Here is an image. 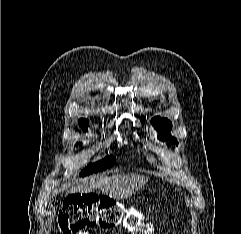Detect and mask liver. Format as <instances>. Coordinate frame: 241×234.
<instances>
[{
  "mask_svg": "<svg viewBox=\"0 0 241 234\" xmlns=\"http://www.w3.org/2000/svg\"><path fill=\"white\" fill-rule=\"evenodd\" d=\"M149 177L135 174H120L84 182L72 190V193H86L99 189L113 199H123L141 189Z\"/></svg>",
  "mask_w": 241,
  "mask_h": 234,
  "instance_id": "1",
  "label": "liver"
}]
</instances>
